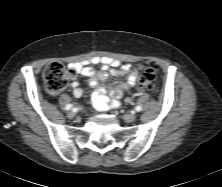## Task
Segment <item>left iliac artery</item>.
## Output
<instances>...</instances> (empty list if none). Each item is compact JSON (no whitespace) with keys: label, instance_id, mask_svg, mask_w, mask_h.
<instances>
[{"label":"left iliac artery","instance_id":"44dca946","mask_svg":"<svg viewBox=\"0 0 222 187\" xmlns=\"http://www.w3.org/2000/svg\"><path fill=\"white\" fill-rule=\"evenodd\" d=\"M135 110H136L137 112H140V111L142 110V107H141V106H136V107H135Z\"/></svg>","mask_w":222,"mask_h":187}]
</instances>
